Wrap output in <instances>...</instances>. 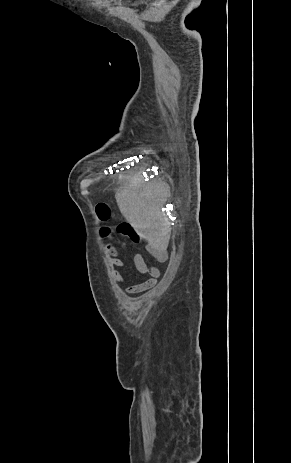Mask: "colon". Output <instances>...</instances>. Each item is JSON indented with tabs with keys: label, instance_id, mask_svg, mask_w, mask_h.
Here are the masks:
<instances>
[{
	"label": "colon",
	"instance_id": "obj_1",
	"mask_svg": "<svg viewBox=\"0 0 291 463\" xmlns=\"http://www.w3.org/2000/svg\"><path fill=\"white\" fill-rule=\"evenodd\" d=\"M98 220L103 224L100 228V235L103 242H110L111 236L117 233L133 242L139 243L140 238L134 228L128 222H119L115 226L108 224L112 218L111 207L106 203H99L95 208Z\"/></svg>",
	"mask_w": 291,
	"mask_h": 463
}]
</instances>
